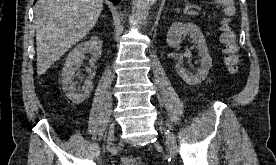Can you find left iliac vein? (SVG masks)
Returning a JSON list of instances; mask_svg holds the SVG:
<instances>
[{
  "label": "left iliac vein",
  "mask_w": 276,
  "mask_h": 165,
  "mask_svg": "<svg viewBox=\"0 0 276 165\" xmlns=\"http://www.w3.org/2000/svg\"><path fill=\"white\" fill-rule=\"evenodd\" d=\"M156 125L158 126V124ZM166 135H167V145L170 149V152L172 155H175L177 146H176V141L173 137V134L168 132Z\"/></svg>",
  "instance_id": "1"
}]
</instances>
